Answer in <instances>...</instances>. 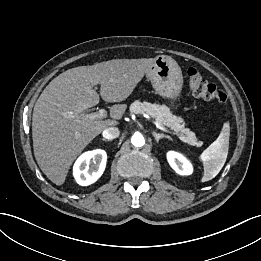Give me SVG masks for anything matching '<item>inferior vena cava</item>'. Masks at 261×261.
<instances>
[{"mask_svg": "<svg viewBox=\"0 0 261 261\" xmlns=\"http://www.w3.org/2000/svg\"><path fill=\"white\" fill-rule=\"evenodd\" d=\"M120 135V131L117 127H107L103 131V137L106 139H115Z\"/></svg>", "mask_w": 261, "mask_h": 261, "instance_id": "602c4592", "label": "inferior vena cava"}]
</instances>
